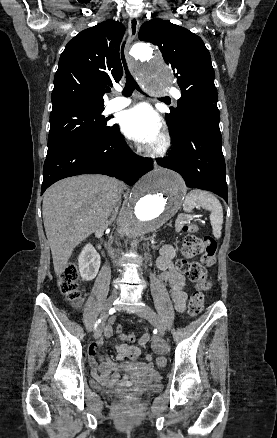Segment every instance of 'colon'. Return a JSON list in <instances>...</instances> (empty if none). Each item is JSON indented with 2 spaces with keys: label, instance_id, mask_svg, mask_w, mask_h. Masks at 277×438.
<instances>
[{
  "label": "colon",
  "instance_id": "obj_1",
  "mask_svg": "<svg viewBox=\"0 0 277 438\" xmlns=\"http://www.w3.org/2000/svg\"><path fill=\"white\" fill-rule=\"evenodd\" d=\"M183 231L186 236L182 245V252L186 257L200 256L201 261L193 262L184 259L177 261L178 270L186 275L191 282L200 284L204 289L209 286L207 269L214 264L215 253L217 250V240L213 235L194 236L193 233L199 231L197 221H186L183 224ZM77 268L75 266H67L64 268L60 281V292L68 300L78 303L81 299V291L77 280ZM205 297L200 292H194L189 299L188 313L191 316L198 315L204 307ZM121 333V329L117 328ZM127 340H131L126 336ZM166 364V359L159 356L156 359V365L163 367Z\"/></svg>",
  "mask_w": 277,
  "mask_h": 438
}]
</instances>
